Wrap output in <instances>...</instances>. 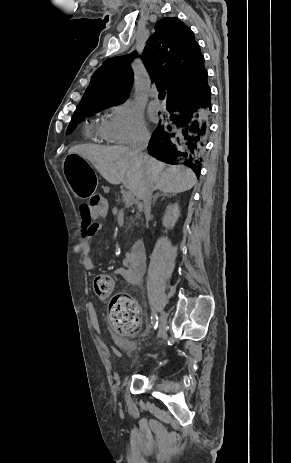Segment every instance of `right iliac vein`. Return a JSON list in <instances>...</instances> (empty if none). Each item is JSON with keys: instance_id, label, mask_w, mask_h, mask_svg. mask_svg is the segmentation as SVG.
Here are the masks:
<instances>
[{"instance_id": "obj_1", "label": "right iliac vein", "mask_w": 291, "mask_h": 463, "mask_svg": "<svg viewBox=\"0 0 291 463\" xmlns=\"http://www.w3.org/2000/svg\"><path fill=\"white\" fill-rule=\"evenodd\" d=\"M166 324H167V316H166V313L162 311L160 315V320H159V329H158V334H157L158 338H161L165 335Z\"/></svg>"}]
</instances>
